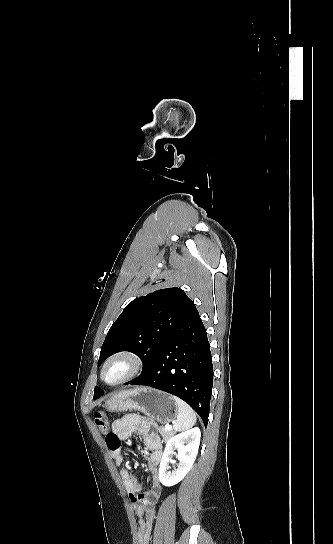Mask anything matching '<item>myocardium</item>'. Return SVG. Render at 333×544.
Masks as SVG:
<instances>
[{"instance_id": "1", "label": "myocardium", "mask_w": 333, "mask_h": 544, "mask_svg": "<svg viewBox=\"0 0 333 544\" xmlns=\"http://www.w3.org/2000/svg\"><path fill=\"white\" fill-rule=\"evenodd\" d=\"M119 361H123L127 363L128 369L126 373L124 374V376H122L119 380L115 382L107 381L105 377V372L107 368L111 364L115 362H119ZM143 365H144L143 360L139 355L129 351H120V352L114 353L113 355H111L105 360L100 370V377H101V380L108 386L117 387L136 378L141 373L143 369Z\"/></svg>"}]
</instances>
